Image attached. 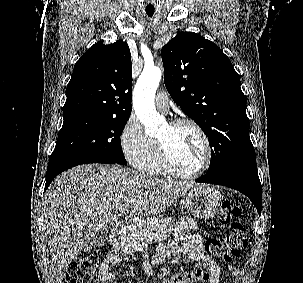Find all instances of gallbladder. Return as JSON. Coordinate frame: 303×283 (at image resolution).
Here are the masks:
<instances>
[{
	"label": "gallbladder",
	"instance_id": "gallbladder-1",
	"mask_svg": "<svg viewBox=\"0 0 303 283\" xmlns=\"http://www.w3.org/2000/svg\"><path fill=\"white\" fill-rule=\"evenodd\" d=\"M106 233L103 231L95 232L90 235L85 248H92L102 244L105 241Z\"/></svg>",
	"mask_w": 303,
	"mask_h": 283
}]
</instances>
